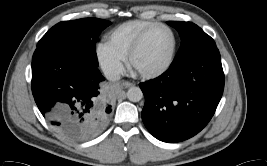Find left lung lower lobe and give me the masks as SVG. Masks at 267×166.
<instances>
[{
  "label": "left lung lower lobe",
  "instance_id": "left-lung-lower-lobe-1",
  "mask_svg": "<svg viewBox=\"0 0 267 166\" xmlns=\"http://www.w3.org/2000/svg\"><path fill=\"white\" fill-rule=\"evenodd\" d=\"M145 96L142 120L163 142H180L199 133L215 113L224 89L217 47L173 62L159 77L140 83Z\"/></svg>",
  "mask_w": 267,
  "mask_h": 166
}]
</instances>
